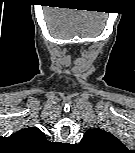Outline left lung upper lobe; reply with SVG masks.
Returning <instances> with one entry per match:
<instances>
[{
  "instance_id": "1",
  "label": "left lung upper lobe",
  "mask_w": 135,
  "mask_h": 153,
  "mask_svg": "<svg viewBox=\"0 0 135 153\" xmlns=\"http://www.w3.org/2000/svg\"><path fill=\"white\" fill-rule=\"evenodd\" d=\"M80 146L93 153H117L126 150L116 137L100 128L89 129L84 134Z\"/></svg>"
}]
</instances>
